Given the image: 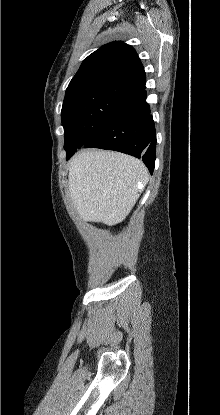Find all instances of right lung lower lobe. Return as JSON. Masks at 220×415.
I'll list each match as a JSON object with an SVG mask.
<instances>
[{"label": "right lung lower lobe", "instance_id": "98d812e1", "mask_svg": "<svg viewBox=\"0 0 220 415\" xmlns=\"http://www.w3.org/2000/svg\"><path fill=\"white\" fill-rule=\"evenodd\" d=\"M145 89L143 86L118 106L84 147L114 150L141 158L152 174L155 166L156 135ZM76 150L77 148L66 149V159Z\"/></svg>", "mask_w": 220, "mask_h": 415}]
</instances>
